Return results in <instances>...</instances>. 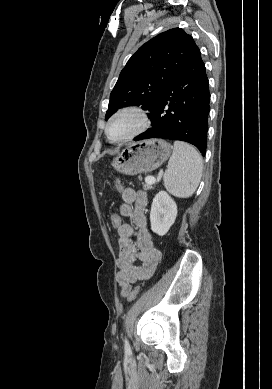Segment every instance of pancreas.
<instances>
[{
	"instance_id": "pancreas-1",
	"label": "pancreas",
	"mask_w": 272,
	"mask_h": 389,
	"mask_svg": "<svg viewBox=\"0 0 272 389\" xmlns=\"http://www.w3.org/2000/svg\"><path fill=\"white\" fill-rule=\"evenodd\" d=\"M148 178V177H147ZM146 178V179H147ZM146 179H145V184H143V188L145 189V190H149V189H152L153 188V184L154 183H148L147 181H146Z\"/></svg>"
}]
</instances>
